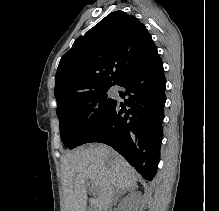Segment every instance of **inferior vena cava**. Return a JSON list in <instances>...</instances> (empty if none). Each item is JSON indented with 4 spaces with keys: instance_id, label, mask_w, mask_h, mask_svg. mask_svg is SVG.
<instances>
[{
    "instance_id": "602c4592",
    "label": "inferior vena cava",
    "mask_w": 219,
    "mask_h": 211,
    "mask_svg": "<svg viewBox=\"0 0 219 211\" xmlns=\"http://www.w3.org/2000/svg\"><path fill=\"white\" fill-rule=\"evenodd\" d=\"M110 193H115L116 197L119 195L120 189L119 188H110L109 189Z\"/></svg>"
}]
</instances>
